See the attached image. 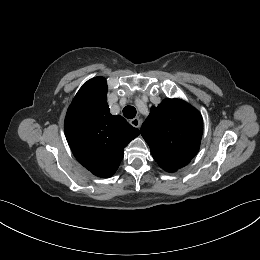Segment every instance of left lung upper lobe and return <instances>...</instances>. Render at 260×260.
I'll use <instances>...</instances> for the list:
<instances>
[{"label": "left lung upper lobe", "instance_id": "left-lung-upper-lobe-1", "mask_svg": "<svg viewBox=\"0 0 260 260\" xmlns=\"http://www.w3.org/2000/svg\"><path fill=\"white\" fill-rule=\"evenodd\" d=\"M203 134L199 111L180 99H165L151 107L141 127V135L158 165L175 172L197 154Z\"/></svg>", "mask_w": 260, "mask_h": 260}]
</instances>
